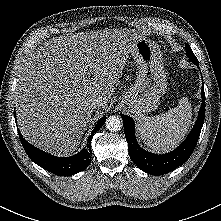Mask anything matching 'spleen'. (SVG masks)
Listing matches in <instances>:
<instances>
[{"label": "spleen", "instance_id": "3e777b00", "mask_svg": "<svg viewBox=\"0 0 221 221\" xmlns=\"http://www.w3.org/2000/svg\"><path fill=\"white\" fill-rule=\"evenodd\" d=\"M187 97L179 100L178 106L154 117L137 118V130L141 139L154 151L175 148L190 127L192 113Z\"/></svg>", "mask_w": 221, "mask_h": 221}]
</instances>
